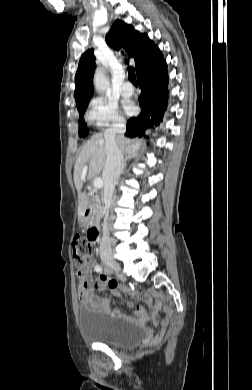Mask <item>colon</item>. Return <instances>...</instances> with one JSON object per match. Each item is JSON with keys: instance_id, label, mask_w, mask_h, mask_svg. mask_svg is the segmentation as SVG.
Returning a JSON list of instances; mask_svg holds the SVG:
<instances>
[{"instance_id": "5ec220e1", "label": "colon", "mask_w": 252, "mask_h": 390, "mask_svg": "<svg viewBox=\"0 0 252 390\" xmlns=\"http://www.w3.org/2000/svg\"><path fill=\"white\" fill-rule=\"evenodd\" d=\"M95 231L91 228L85 236H76L73 240V260L76 268L82 271L92 259L94 253Z\"/></svg>"}]
</instances>
